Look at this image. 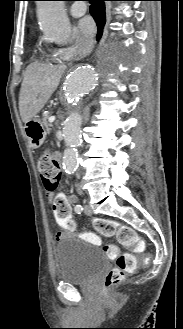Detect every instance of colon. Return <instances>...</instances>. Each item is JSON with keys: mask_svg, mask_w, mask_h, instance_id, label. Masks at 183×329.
<instances>
[{"mask_svg": "<svg viewBox=\"0 0 183 329\" xmlns=\"http://www.w3.org/2000/svg\"><path fill=\"white\" fill-rule=\"evenodd\" d=\"M38 170L47 191H54L61 179V170L57 160L50 153L44 152L38 160ZM94 227L101 236H116L120 244L134 251L140 252L145 248L144 242L128 226L109 219L98 218L94 221ZM105 252L109 257L116 258L115 266L109 270L104 281L106 289H110L119 285L127 274L136 270L137 259L132 253L117 255V249L112 245L106 246Z\"/></svg>", "mask_w": 183, "mask_h": 329, "instance_id": "1", "label": "colon"}]
</instances>
